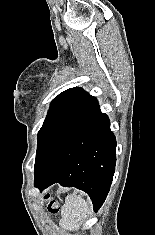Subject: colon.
<instances>
[{"instance_id":"obj_1","label":"colon","mask_w":155,"mask_h":235,"mask_svg":"<svg viewBox=\"0 0 155 235\" xmlns=\"http://www.w3.org/2000/svg\"><path fill=\"white\" fill-rule=\"evenodd\" d=\"M48 210L51 212V213H57L58 210H59V205L56 201H50L48 203Z\"/></svg>"}]
</instances>
